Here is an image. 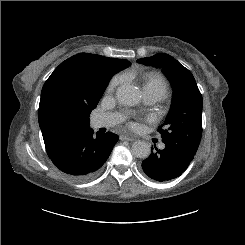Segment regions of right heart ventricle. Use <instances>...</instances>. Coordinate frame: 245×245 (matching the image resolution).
<instances>
[{
    "label": "right heart ventricle",
    "mask_w": 245,
    "mask_h": 245,
    "mask_svg": "<svg viewBox=\"0 0 245 245\" xmlns=\"http://www.w3.org/2000/svg\"><path fill=\"white\" fill-rule=\"evenodd\" d=\"M143 89L145 94L155 95L160 100L167 95L169 88L160 73L149 72L143 77Z\"/></svg>",
    "instance_id": "obj_1"
}]
</instances>
